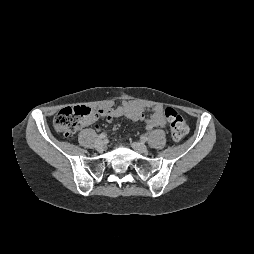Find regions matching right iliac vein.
Segmentation results:
<instances>
[{
	"label": "right iliac vein",
	"mask_w": 254,
	"mask_h": 254,
	"mask_svg": "<svg viewBox=\"0 0 254 254\" xmlns=\"http://www.w3.org/2000/svg\"><path fill=\"white\" fill-rule=\"evenodd\" d=\"M103 147H104V142H103L102 140H98V141L96 142L95 148H96L97 150H101Z\"/></svg>",
	"instance_id": "1"
}]
</instances>
